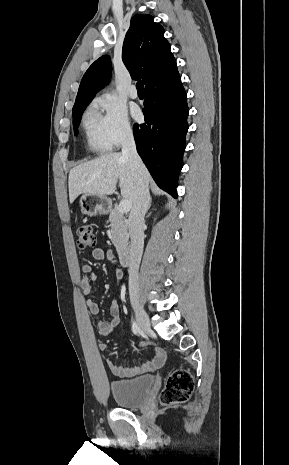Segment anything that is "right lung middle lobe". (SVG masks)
Wrapping results in <instances>:
<instances>
[{"mask_svg": "<svg viewBox=\"0 0 289 465\" xmlns=\"http://www.w3.org/2000/svg\"><path fill=\"white\" fill-rule=\"evenodd\" d=\"M90 102L91 100H85V101L76 102L74 104L72 114H73V126L75 130V135H77V128L80 123L82 113Z\"/></svg>", "mask_w": 289, "mask_h": 465, "instance_id": "obj_1", "label": "right lung middle lobe"}]
</instances>
